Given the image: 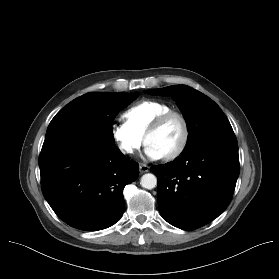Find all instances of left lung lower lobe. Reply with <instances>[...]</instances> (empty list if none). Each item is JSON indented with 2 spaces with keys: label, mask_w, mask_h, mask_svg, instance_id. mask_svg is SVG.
Masks as SVG:
<instances>
[{
  "label": "left lung lower lobe",
  "mask_w": 279,
  "mask_h": 279,
  "mask_svg": "<svg viewBox=\"0 0 279 279\" xmlns=\"http://www.w3.org/2000/svg\"><path fill=\"white\" fill-rule=\"evenodd\" d=\"M151 170L158 178L164 220L183 230L197 229L218 217L232 199L240 171L237 139L203 140Z\"/></svg>",
  "instance_id": "1"
}]
</instances>
